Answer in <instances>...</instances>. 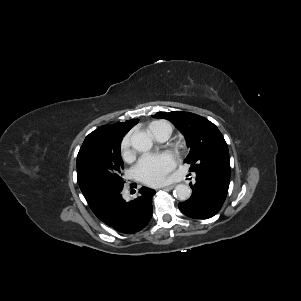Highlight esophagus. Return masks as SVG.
Here are the masks:
<instances>
[{
  "instance_id": "34e87169",
  "label": "esophagus",
  "mask_w": 301,
  "mask_h": 301,
  "mask_svg": "<svg viewBox=\"0 0 301 301\" xmlns=\"http://www.w3.org/2000/svg\"><path fill=\"white\" fill-rule=\"evenodd\" d=\"M175 187V184H170V185H167V186H163L161 187L162 189H168V190H171Z\"/></svg>"
}]
</instances>
